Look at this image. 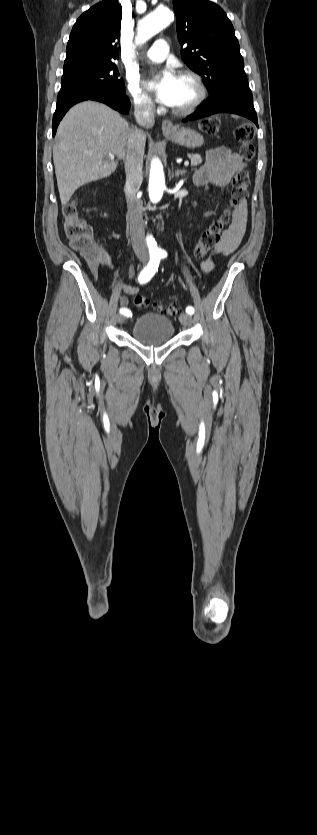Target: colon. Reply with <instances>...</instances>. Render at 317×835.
<instances>
[{
  "label": "colon",
  "mask_w": 317,
  "mask_h": 835,
  "mask_svg": "<svg viewBox=\"0 0 317 835\" xmlns=\"http://www.w3.org/2000/svg\"><path fill=\"white\" fill-rule=\"evenodd\" d=\"M220 121L217 118H207L200 124L201 130L209 135L218 132ZM234 136L239 144V154L244 162H251L256 155L253 144L254 129L248 124H242L234 130ZM250 177L247 171L238 172L232 180L231 197L227 208L222 215L215 219L200 235L193 246L195 258H202L208 254L221 239V232L229 224L231 215L240 207L245 205L248 199ZM64 217V231L73 249L80 252L84 258H94L97 248L95 246L89 225L81 218L76 201H69L62 210ZM134 304L138 308H146L148 300L145 296L137 295ZM155 310L167 315H175L177 307L173 304L164 306L157 302Z\"/></svg>",
  "instance_id": "colon-1"
}]
</instances>
